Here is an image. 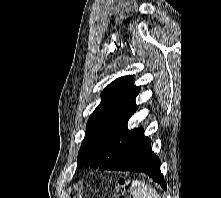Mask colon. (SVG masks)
I'll list each match as a JSON object with an SVG mask.
<instances>
[{
    "instance_id": "obj_1",
    "label": "colon",
    "mask_w": 221,
    "mask_h": 198,
    "mask_svg": "<svg viewBox=\"0 0 221 198\" xmlns=\"http://www.w3.org/2000/svg\"><path fill=\"white\" fill-rule=\"evenodd\" d=\"M112 194L117 198H130L127 190V180L119 178L112 188Z\"/></svg>"
}]
</instances>
